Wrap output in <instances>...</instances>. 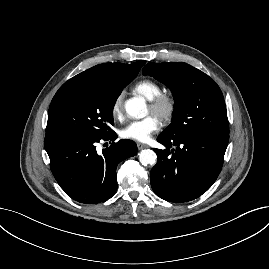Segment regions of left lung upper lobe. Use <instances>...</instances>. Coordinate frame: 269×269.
<instances>
[{
  "label": "left lung upper lobe",
  "instance_id": "1",
  "mask_svg": "<svg viewBox=\"0 0 269 269\" xmlns=\"http://www.w3.org/2000/svg\"><path fill=\"white\" fill-rule=\"evenodd\" d=\"M143 75L165 84L175 99L173 121L161 137L173 139L196 131L229 134L223 94L207 74L187 63L166 62L148 63Z\"/></svg>",
  "mask_w": 269,
  "mask_h": 269
}]
</instances>
